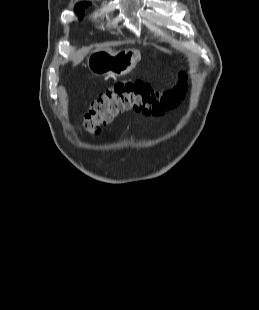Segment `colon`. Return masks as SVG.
<instances>
[{"label":"colon","mask_w":259,"mask_h":310,"mask_svg":"<svg viewBox=\"0 0 259 310\" xmlns=\"http://www.w3.org/2000/svg\"><path fill=\"white\" fill-rule=\"evenodd\" d=\"M184 78L185 74L180 73L178 82L165 90L153 89L139 80L114 84L91 103L84 117L86 130L96 133L117 115L128 110L157 115L175 107L185 94Z\"/></svg>","instance_id":"colon-1"}]
</instances>
